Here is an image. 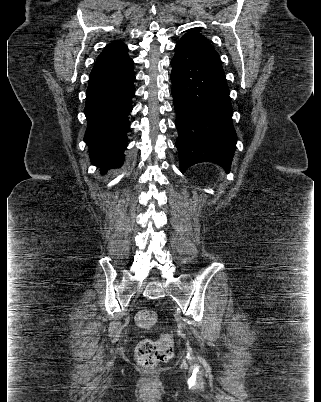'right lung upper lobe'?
I'll use <instances>...</instances> for the list:
<instances>
[{
  "mask_svg": "<svg viewBox=\"0 0 321 402\" xmlns=\"http://www.w3.org/2000/svg\"><path fill=\"white\" fill-rule=\"evenodd\" d=\"M127 46L121 41L108 44L98 56L95 67H120L133 64Z\"/></svg>",
  "mask_w": 321,
  "mask_h": 402,
  "instance_id": "cb5924a9",
  "label": "right lung upper lobe"
}]
</instances>
